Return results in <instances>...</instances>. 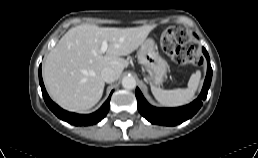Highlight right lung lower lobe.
Returning <instances> with one entry per match:
<instances>
[{
    "mask_svg": "<svg viewBox=\"0 0 258 158\" xmlns=\"http://www.w3.org/2000/svg\"><path fill=\"white\" fill-rule=\"evenodd\" d=\"M39 83L41 86L43 98H44L45 103L48 106V108L58 118L66 121L72 125L88 126V125L96 124L99 121H101L109 111V106H110L109 102H110L112 92H111L109 98L106 100V102L102 105V107L99 110H97L96 112H94L92 114L81 115V114L71 113V112H67V111L63 110L50 99V97L48 96V94L45 90L44 84H43L42 74H41V66L39 67Z\"/></svg>",
    "mask_w": 258,
    "mask_h": 158,
    "instance_id": "1",
    "label": "right lung lower lobe"
}]
</instances>
